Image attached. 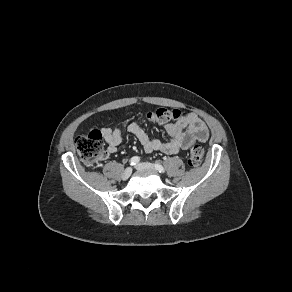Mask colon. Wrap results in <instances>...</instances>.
Segmentation results:
<instances>
[{
	"instance_id": "obj_1",
	"label": "colon",
	"mask_w": 292,
	"mask_h": 292,
	"mask_svg": "<svg viewBox=\"0 0 292 292\" xmlns=\"http://www.w3.org/2000/svg\"><path fill=\"white\" fill-rule=\"evenodd\" d=\"M180 115L177 109L170 110L165 108L157 109L148 114L152 121H166L175 119ZM77 151L81 159L87 165H95L105 155L103 135L99 130H93L87 135L78 136L75 140ZM204 159V149L199 143L191 146L188 162L190 166H199Z\"/></svg>"
}]
</instances>
